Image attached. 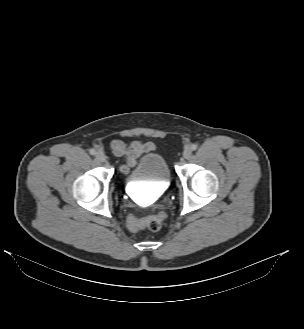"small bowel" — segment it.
<instances>
[{
  "label": "small bowel",
  "mask_w": 304,
  "mask_h": 329,
  "mask_svg": "<svg viewBox=\"0 0 304 329\" xmlns=\"http://www.w3.org/2000/svg\"><path fill=\"white\" fill-rule=\"evenodd\" d=\"M109 149L115 156L123 158L124 163L120 169L122 173L128 174L142 154L154 149V144L140 140H134L126 144L121 140H113L110 143Z\"/></svg>",
  "instance_id": "small-bowel-1"
}]
</instances>
